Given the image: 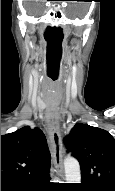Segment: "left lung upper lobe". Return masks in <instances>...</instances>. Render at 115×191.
<instances>
[{
	"label": "left lung upper lobe",
	"mask_w": 115,
	"mask_h": 191,
	"mask_svg": "<svg viewBox=\"0 0 115 191\" xmlns=\"http://www.w3.org/2000/svg\"><path fill=\"white\" fill-rule=\"evenodd\" d=\"M64 143L80 163L81 186L115 191V139L109 132L77 123Z\"/></svg>",
	"instance_id": "obj_1"
}]
</instances>
